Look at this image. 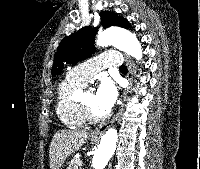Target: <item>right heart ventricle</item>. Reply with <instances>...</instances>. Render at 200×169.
<instances>
[{
	"label": "right heart ventricle",
	"instance_id": "obj_1",
	"mask_svg": "<svg viewBox=\"0 0 200 169\" xmlns=\"http://www.w3.org/2000/svg\"><path fill=\"white\" fill-rule=\"evenodd\" d=\"M82 87L84 84L66 76L57 89L56 112L61 123L70 129H80L86 125L81 104L73 98V94Z\"/></svg>",
	"mask_w": 200,
	"mask_h": 169
}]
</instances>
